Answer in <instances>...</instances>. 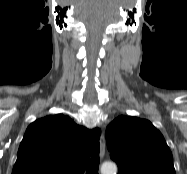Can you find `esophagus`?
<instances>
[{
    "mask_svg": "<svg viewBox=\"0 0 187 174\" xmlns=\"http://www.w3.org/2000/svg\"><path fill=\"white\" fill-rule=\"evenodd\" d=\"M99 144H100V157L103 158L105 154V137L103 132L100 136Z\"/></svg>",
    "mask_w": 187,
    "mask_h": 174,
    "instance_id": "1",
    "label": "esophagus"
}]
</instances>
